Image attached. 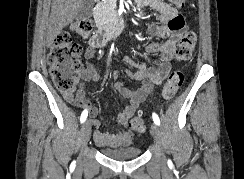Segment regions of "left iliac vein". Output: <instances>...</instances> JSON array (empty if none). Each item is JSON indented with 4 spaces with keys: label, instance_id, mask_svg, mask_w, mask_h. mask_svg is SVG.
<instances>
[{
    "label": "left iliac vein",
    "instance_id": "4c4485c4",
    "mask_svg": "<svg viewBox=\"0 0 244 179\" xmlns=\"http://www.w3.org/2000/svg\"><path fill=\"white\" fill-rule=\"evenodd\" d=\"M151 134L153 136L154 141L156 144L162 148V142H163V137L160 128L157 126V124L153 123L151 125ZM163 159V155L161 157Z\"/></svg>",
    "mask_w": 244,
    "mask_h": 179
}]
</instances>
